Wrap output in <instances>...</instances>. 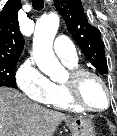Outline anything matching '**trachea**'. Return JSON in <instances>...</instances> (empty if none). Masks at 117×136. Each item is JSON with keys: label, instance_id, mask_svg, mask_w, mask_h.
I'll return each instance as SVG.
<instances>
[{"label": "trachea", "instance_id": "3493384b", "mask_svg": "<svg viewBox=\"0 0 117 136\" xmlns=\"http://www.w3.org/2000/svg\"><path fill=\"white\" fill-rule=\"evenodd\" d=\"M32 7L36 11H40L44 8V1L43 0H32Z\"/></svg>", "mask_w": 117, "mask_h": 136}]
</instances>
